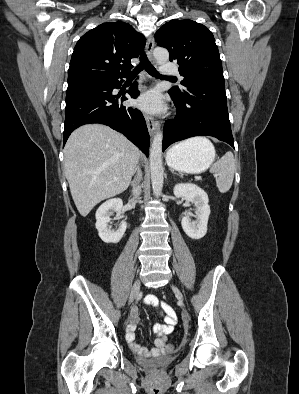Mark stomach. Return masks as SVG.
<instances>
[{
  "label": "stomach",
  "mask_w": 299,
  "mask_h": 394,
  "mask_svg": "<svg viewBox=\"0 0 299 394\" xmlns=\"http://www.w3.org/2000/svg\"><path fill=\"white\" fill-rule=\"evenodd\" d=\"M215 158L213 145L199 142L184 143L171 148L166 161L170 168L180 172L198 174L205 171Z\"/></svg>",
  "instance_id": "obj_1"
}]
</instances>
